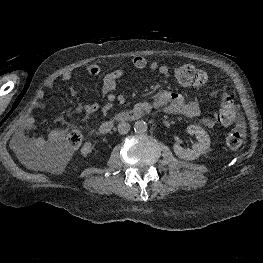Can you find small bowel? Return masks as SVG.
Segmentation results:
<instances>
[{
  "mask_svg": "<svg viewBox=\"0 0 263 263\" xmlns=\"http://www.w3.org/2000/svg\"><path fill=\"white\" fill-rule=\"evenodd\" d=\"M132 65L137 70H148L160 77L168 78L171 76V70L165 65H160L156 61L148 62L144 57L137 56L133 59ZM86 71L90 75H98L101 72V68L97 64H89L86 66ZM125 76V71L123 69H115L107 73L102 81V93L108 94L112 92L120 79ZM61 80L68 82L72 78L70 72H64L60 76ZM52 83H50V86ZM44 91L40 90L37 93V98L43 99ZM151 109H161L168 114H181L187 117H198L201 113L200 105L196 100H186L185 97L179 92L162 91L156 98L149 103ZM99 109L98 103L79 105V110L85 114H91ZM202 123L205 126L211 127L213 121L210 118H203ZM34 125V118L28 116L23 124V133H21L20 138L32 145L37 149H48L53 147H58L61 145L62 141L65 139L67 130L61 127L52 129L47 137H29L25 132L29 131Z\"/></svg>",
  "mask_w": 263,
  "mask_h": 263,
  "instance_id": "obj_1",
  "label": "small bowel"
}]
</instances>
